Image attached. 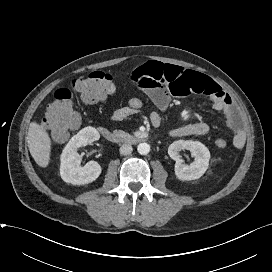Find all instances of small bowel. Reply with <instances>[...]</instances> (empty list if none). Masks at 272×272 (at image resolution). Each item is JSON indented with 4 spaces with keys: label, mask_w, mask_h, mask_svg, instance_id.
I'll return each instance as SVG.
<instances>
[{
    "label": "small bowel",
    "mask_w": 272,
    "mask_h": 272,
    "mask_svg": "<svg viewBox=\"0 0 272 272\" xmlns=\"http://www.w3.org/2000/svg\"><path fill=\"white\" fill-rule=\"evenodd\" d=\"M131 80L154 101L161 111L168 108L173 97L191 93L208 97L212 101L213 108L224 113L227 126L234 133V148L241 149L245 145L246 133L236 105L230 95L209 77L179 66L149 61L132 71ZM137 112L128 106L121 107L113 112L111 119L116 122L123 121ZM150 121L154 126H158L161 121L160 114L152 111ZM209 130L207 123L199 121L172 129L169 135L174 138L202 136Z\"/></svg>",
    "instance_id": "obj_1"
}]
</instances>
